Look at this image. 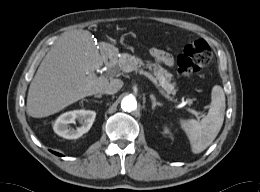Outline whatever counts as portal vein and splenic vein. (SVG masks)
Instances as JSON below:
<instances>
[{"label": "portal vein and splenic vein", "mask_w": 260, "mask_h": 192, "mask_svg": "<svg viewBox=\"0 0 260 192\" xmlns=\"http://www.w3.org/2000/svg\"><path fill=\"white\" fill-rule=\"evenodd\" d=\"M122 70H123L124 72H126V73H129V72H132V71H138L139 74L146 76V77H147L148 79H150L157 87H159V84H158L156 78H155L152 74H150L149 72H147V71H144V70H142V69L139 70L137 67H132V66H125V67L122 68ZM160 92L163 94V91H162V90H160ZM164 96H165L168 100H170V101H172V102H176V100L172 99L169 95L164 94ZM188 111L193 112V111H191V110H188Z\"/></svg>", "instance_id": "portal-vein-and-splenic-vein-1"}]
</instances>
